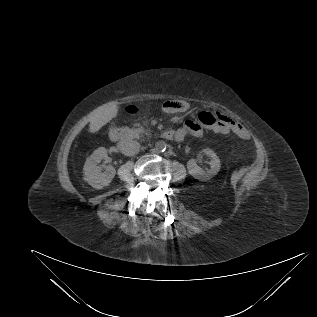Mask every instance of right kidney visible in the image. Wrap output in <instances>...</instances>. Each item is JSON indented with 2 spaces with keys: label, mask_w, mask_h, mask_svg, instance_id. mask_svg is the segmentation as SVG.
Returning <instances> with one entry per match:
<instances>
[{
  "label": "right kidney",
  "mask_w": 317,
  "mask_h": 317,
  "mask_svg": "<svg viewBox=\"0 0 317 317\" xmlns=\"http://www.w3.org/2000/svg\"><path fill=\"white\" fill-rule=\"evenodd\" d=\"M107 156V149L99 147L87 158L84 164V180L95 189H102L108 186L116 174L115 169L111 165L105 166V171L102 172V167L99 163L106 159Z\"/></svg>",
  "instance_id": "right-kidney-1"
}]
</instances>
